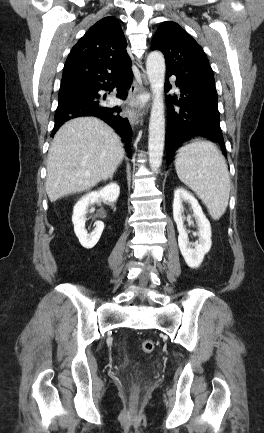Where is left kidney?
Wrapping results in <instances>:
<instances>
[{"label": "left kidney", "mask_w": 264, "mask_h": 433, "mask_svg": "<svg viewBox=\"0 0 264 433\" xmlns=\"http://www.w3.org/2000/svg\"><path fill=\"white\" fill-rule=\"evenodd\" d=\"M183 202H188L191 205L193 217L195 218L198 226L199 243L195 245V248L188 246V235L183 225ZM173 218L179 233L178 245L181 254L184 257L186 264L190 268L196 269L201 265L205 254L209 252L212 245L210 222L204 215L197 199L181 187L174 191Z\"/></svg>", "instance_id": "1"}]
</instances>
